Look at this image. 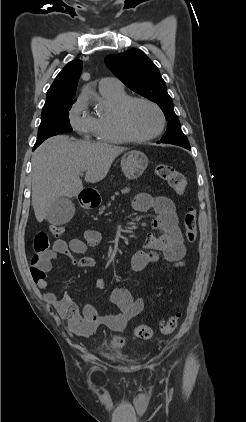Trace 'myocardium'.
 <instances>
[{"mask_svg":"<svg viewBox=\"0 0 246 422\" xmlns=\"http://www.w3.org/2000/svg\"><path fill=\"white\" fill-rule=\"evenodd\" d=\"M139 102L150 105L157 111L159 115V118H160L159 127L154 133L150 135H146V136L138 135L133 131V129L130 126L129 119H128L129 110L135 103H139ZM116 118H117V122L120 129L131 141H134V142H146V141H150L157 138L163 132L166 125V117L161 107L156 102L145 97H130L127 100H125L117 108Z\"/></svg>","mask_w":246,"mask_h":422,"instance_id":"f54148a6","label":"myocardium"}]
</instances>
